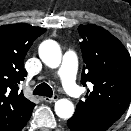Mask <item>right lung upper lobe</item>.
Masks as SVG:
<instances>
[{"label":"right lung upper lobe","mask_w":131,"mask_h":131,"mask_svg":"<svg viewBox=\"0 0 131 131\" xmlns=\"http://www.w3.org/2000/svg\"><path fill=\"white\" fill-rule=\"evenodd\" d=\"M46 29L29 24L0 26V131H20L35 104L24 97L18 84L24 80V58Z\"/></svg>","instance_id":"cb5924a9"}]
</instances>
